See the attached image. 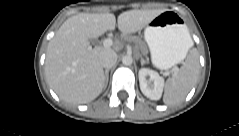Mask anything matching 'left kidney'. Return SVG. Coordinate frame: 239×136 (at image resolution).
<instances>
[{"instance_id": "1", "label": "left kidney", "mask_w": 239, "mask_h": 136, "mask_svg": "<svg viewBox=\"0 0 239 136\" xmlns=\"http://www.w3.org/2000/svg\"><path fill=\"white\" fill-rule=\"evenodd\" d=\"M141 92L151 100H159L162 96L164 78L156 71L141 68L138 73ZM149 77V79H147ZM153 82V84H151Z\"/></svg>"}]
</instances>
